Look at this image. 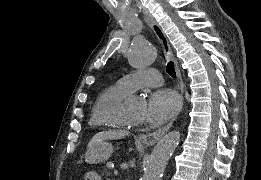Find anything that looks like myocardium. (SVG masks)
Listing matches in <instances>:
<instances>
[{
    "label": "myocardium",
    "mask_w": 261,
    "mask_h": 180,
    "mask_svg": "<svg viewBox=\"0 0 261 180\" xmlns=\"http://www.w3.org/2000/svg\"><path fill=\"white\" fill-rule=\"evenodd\" d=\"M123 113H124V107H121L115 114V122H116L117 129L121 133H124L127 136H133V137L141 136L146 129L147 123L142 126L129 124L123 120L122 118Z\"/></svg>",
    "instance_id": "f54148a6"
}]
</instances>
